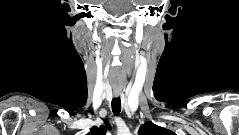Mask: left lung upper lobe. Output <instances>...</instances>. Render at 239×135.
<instances>
[{"mask_svg": "<svg viewBox=\"0 0 239 135\" xmlns=\"http://www.w3.org/2000/svg\"><path fill=\"white\" fill-rule=\"evenodd\" d=\"M139 135H176L174 132L148 121L141 125Z\"/></svg>", "mask_w": 239, "mask_h": 135, "instance_id": "obj_1", "label": "left lung upper lobe"}]
</instances>
